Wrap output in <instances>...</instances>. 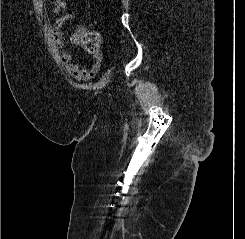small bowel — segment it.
Here are the masks:
<instances>
[{"instance_id": "1", "label": "small bowel", "mask_w": 245, "mask_h": 239, "mask_svg": "<svg viewBox=\"0 0 245 239\" xmlns=\"http://www.w3.org/2000/svg\"><path fill=\"white\" fill-rule=\"evenodd\" d=\"M53 4V12L60 14L54 22L53 34L58 47L63 48V33L61 28L67 21L75 17V12L73 10H67V5L63 0H58V2ZM60 57L68 73L77 80H89L94 78L99 72L103 61V56L99 51L92 53L93 64L89 67H83L73 62L70 53L66 51H61Z\"/></svg>"}]
</instances>
